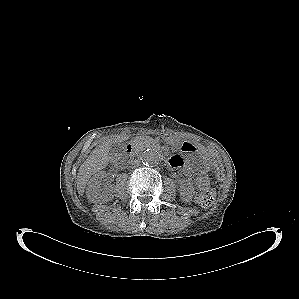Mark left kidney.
<instances>
[{"mask_svg": "<svg viewBox=\"0 0 299 299\" xmlns=\"http://www.w3.org/2000/svg\"><path fill=\"white\" fill-rule=\"evenodd\" d=\"M193 193H194V187L191 182L187 180H182L180 183V196L181 198L189 202L193 198Z\"/></svg>", "mask_w": 299, "mask_h": 299, "instance_id": "1", "label": "left kidney"}]
</instances>
